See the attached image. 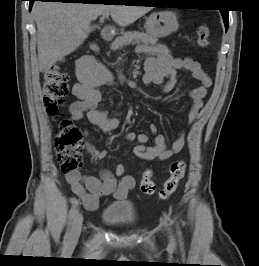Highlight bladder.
Masks as SVG:
<instances>
[{
  "label": "bladder",
  "mask_w": 259,
  "mask_h": 266,
  "mask_svg": "<svg viewBox=\"0 0 259 266\" xmlns=\"http://www.w3.org/2000/svg\"><path fill=\"white\" fill-rule=\"evenodd\" d=\"M101 218L110 226L131 225L136 220V208L131 202L112 203L102 212Z\"/></svg>",
  "instance_id": "31cf9c89"
}]
</instances>
